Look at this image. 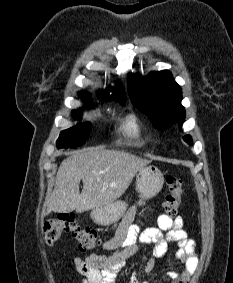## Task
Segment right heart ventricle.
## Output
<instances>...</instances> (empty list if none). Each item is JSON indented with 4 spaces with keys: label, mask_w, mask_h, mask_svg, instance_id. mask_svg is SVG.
<instances>
[{
    "label": "right heart ventricle",
    "mask_w": 233,
    "mask_h": 283,
    "mask_svg": "<svg viewBox=\"0 0 233 283\" xmlns=\"http://www.w3.org/2000/svg\"><path fill=\"white\" fill-rule=\"evenodd\" d=\"M120 132L128 141L137 146H142L145 143L143 130L138 120L131 116L121 126Z\"/></svg>",
    "instance_id": "obj_1"
}]
</instances>
